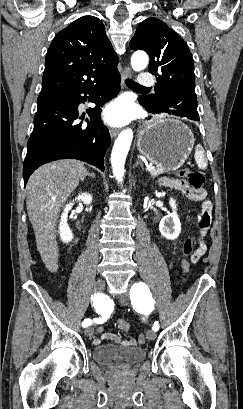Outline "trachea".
I'll return each mask as SVG.
<instances>
[{
    "mask_svg": "<svg viewBox=\"0 0 243 409\" xmlns=\"http://www.w3.org/2000/svg\"><path fill=\"white\" fill-rule=\"evenodd\" d=\"M125 83L128 87L135 88V89H147L145 87L140 86L138 83L134 82L133 80L126 79Z\"/></svg>",
    "mask_w": 243,
    "mask_h": 409,
    "instance_id": "obj_1",
    "label": "trachea"
}]
</instances>
